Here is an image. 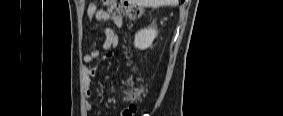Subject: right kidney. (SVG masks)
Returning <instances> with one entry per match:
<instances>
[{
    "label": "right kidney",
    "instance_id": "obj_1",
    "mask_svg": "<svg viewBox=\"0 0 283 116\" xmlns=\"http://www.w3.org/2000/svg\"><path fill=\"white\" fill-rule=\"evenodd\" d=\"M156 36L157 31L154 28L142 29L135 35L134 45L140 50L147 49L152 45Z\"/></svg>",
    "mask_w": 283,
    "mask_h": 116
}]
</instances>
